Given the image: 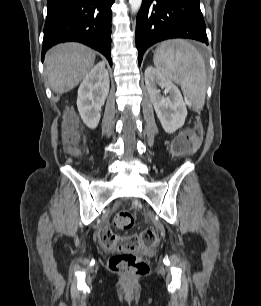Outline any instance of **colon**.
Wrapping results in <instances>:
<instances>
[{
	"instance_id": "obj_1",
	"label": "colon",
	"mask_w": 261,
	"mask_h": 306,
	"mask_svg": "<svg viewBox=\"0 0 261 306\" xmlns=\"http://www.w3.org/2000/svg\"><path fill=\"white\" fill-rule=\"evenodd\" d=\"M65 141L70 149H74L77 139L76 120L69 115L64 121ZM199 137L193 131H184L178 135L172 144L173 153L183 156L194 150L198 144ZM114 221L119 229H129L134 224V216L130 211L120 210L115 214ZM99 232L100 240L106 250L117 252L109 259L111 271L128 277L141 276L148 272V263L135 251L148 249L158 242V235L153 229H144L130 235H119L111 230Z\"/></svg>"
}]
</instances>
